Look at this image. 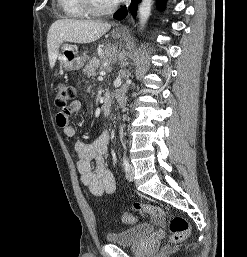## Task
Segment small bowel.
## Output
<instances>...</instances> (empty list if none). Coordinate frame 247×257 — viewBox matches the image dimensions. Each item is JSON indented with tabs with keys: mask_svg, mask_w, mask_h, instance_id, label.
I'll return each instance as SVG.
<instances>
[{
	"mask_svg": "<svg viewBox=\"0 0 247 257\" xmlns=\"http://www.w3.org/2000/svg\"><path fill=\"white\" fill-rule=\"evenodd\" d=\"M80 109V102L74 101L67 112L57 114V123L63 128L64 134L73 137L74 127L69 123L71 113ZM110 143V133L102 132L93 143H86L77 139L73 143L74 151L77 155L76 167L81 177V182L95 196L112 194L116 190V180L111 170L106 166L104 154ZM96 167H92V163Z\"/></svg>",
	"mask_w": 247,
	"mask_h": 257,
	"instance_id": "obj_1",
	"label": "small bowel"
}]
</instances>
